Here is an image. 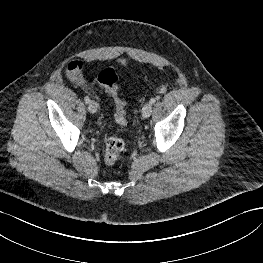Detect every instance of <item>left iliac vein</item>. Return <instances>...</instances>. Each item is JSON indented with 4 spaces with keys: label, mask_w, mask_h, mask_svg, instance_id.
<instances>
[{
    "label": "left iliac vein",
    "mask_w": 263,
    "mask_h": 263,
    "mask_svg": "<svg viewBox=\"0 0 263 263\" xmlns=\"http://www.w3.org/2000/svg\"><path fill=\"white\" fill-rule=\"evenodd\" d=\"M152 112V104L146 103L142 108V116L143 118H148Z\"/></svg>",
    "instance_id": "obj_1"
}]
</instances>
